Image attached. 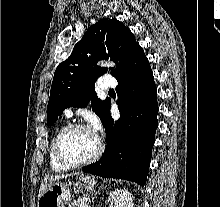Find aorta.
Wrapping results in <instances>:
<instances>
[{
    "instance_id": "obj_1",
    "label": "aorta",
    "mask_w": 220,
    "mask_h": 207,
    "mask_svg": "<svg viewBox=\"0 0 220 207\" xmlns=\"http://www.w3.org/2000/svg\"><path fill=\"white\" fill-rule=\"evenodd\" d=\"M101 65H105V66H107V65H109L108 63H101Z\"/></svg>"
}]
</instances>
